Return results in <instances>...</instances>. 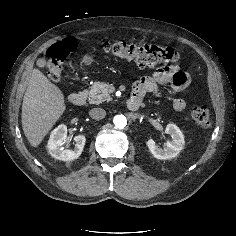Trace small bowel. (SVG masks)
<instances>
[{
  "label": "small bowel",
  "instance_id": "obj_1",
  "mask_svg": "<svg viewBox=\"0 0 236 236\" xmlns=\"http://www.w3.org/2000/svg\"><path fill=\"white\" fill-rule=\"evenodd\" d=\"M171 84L176 92L184 91L190 84V77L182 72L177 65L165 66L157 69L151 76H146L138 80L133 87V95L141 98L151 92H158L162 84ZM176 111H182L186 103L181 98H176L172 102Z\"/></svg>",
  "mask_w": 236,
  "mask_h": 236
}]
</instances>
